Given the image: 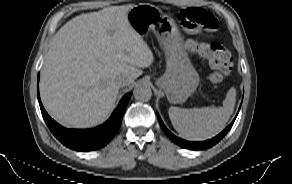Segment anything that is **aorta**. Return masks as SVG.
I'll use <instances>...</instances> for the list:
<instances>
[{
    "label": "aorta",
    "mask_w": 292,
    "mask_h": 184,
    "mask_svg": "<svg viewBox=\"0 0 292 184\" xmlns=\"http://www.w3.org/2000/svg\"><path fill=\"white\" fill-rule=\"evenodd\" d=\"M133 95L136 100L147 102L152 96L151 87L147 84L140 83L135 86Z\"/></svg>",
    "instance_id": "762f6f07"
}]
</instances>
